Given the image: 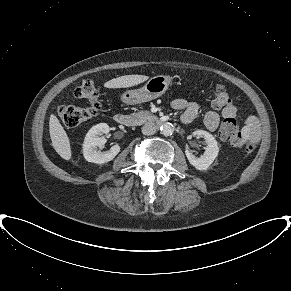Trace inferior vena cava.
Returning a JSON list of instances; mask_svg holds the SVG:
<instances>
[{
  "label": "inferior vena cava",
  "instance_id": "inferior-vena-cava-1",
  "mask_svg": "<svg viewBox=\"0 0 291 291\" xmlns=\"http://www.w3.org/2000/svg\"><path fill=\"white\" fill-rule=\"evenodd\" d=\"M156 132V126L153 123H146L142 127V133L144 135H153Z\"/></svg>",
  "mask_w": 291,
  "mask_h": 291
}]
</instances>
